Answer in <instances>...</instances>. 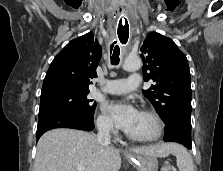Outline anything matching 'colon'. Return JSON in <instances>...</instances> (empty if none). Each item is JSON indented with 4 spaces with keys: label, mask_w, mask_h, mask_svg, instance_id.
Here are the masks:
<instances>
[{
    "label": "colon",
    "mask_w": 223,
    "mask_h": 171,
    "mask_svg": "<svg viewBox=\"0 0 223 171\" xmlns=\"http://www.w3.org/2000/svg\"><path fill=\"white\" fill-rule=\"evenodd\" d=\"M162 171H177L176 168L172 165H166L162 168Z\"/></svg>",
    "instance_id": "1"
}]
</instances>
